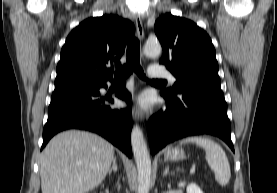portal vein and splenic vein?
I'll use <instances>...</instances> for the list:
<instances>
[{
  "label": "portal vein and splenic vein",
  "mask_w": 277,
  "mask_h": 193,
  "mask_svg": "<svg viewBox=\"0 0 277 193\" xmlns=\"http://www.w3.org/2000/svg\"><path fill=\"white\" fill-rule=\"evenodd\" d=\"M194 172H195V167H192V168L190 169V173L193 174Z\"/></svg>",
  "instance_id": "portal-vein-and-splenic-vein-1"
}]
</instances>
